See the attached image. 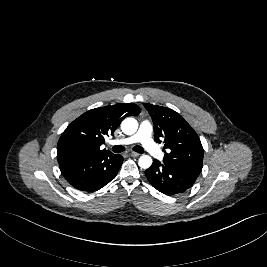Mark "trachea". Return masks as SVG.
<instances>
[{
  "mask_svg": "<svg viewBox=\"0 0 267 267\" xmlns=\"http://www.w3.org/2000/svg\"><path fill=\"white\" fill-rule=\"evenodd\" d=\"M125 150V147L124 146H121V145H116V146H113L112 147V151L114 153H121ZM133 150L137 153H140V154H143L144 153V149L141 147V146H134L133 147Z\"/></svg>",
  "mask_w": 267,
  "mask_h": 267,
  "instance_id": "obj_1",
  "label": "trachea"
}]
</instances>
